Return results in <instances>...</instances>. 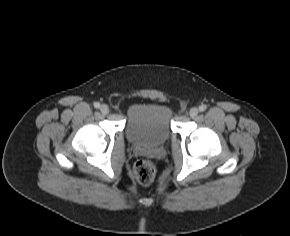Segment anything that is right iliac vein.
<instances>
[{
	"label": "right iliac vein",
	"instance_id": "1",
	"mask_svg": "<svg viewBox=\"0 0 290 236\" xmlns=\"http://www.w3.org/2000/svg\"><path fill=\"white\" fill-rule=\"evenodd\" d=\"M100 111L102 114L106 115L109 113V107L106 104L100 106Z\"/></svg>",
	"mask_w": 290,
	"mask_h": 236
}]
</instances>
